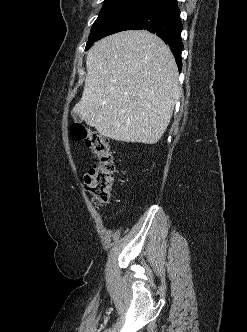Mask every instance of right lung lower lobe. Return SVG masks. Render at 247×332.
Masks as SVG:
<instances>
[{
  "instance_id": "98d812e1",
  "label": "right lung lower lobe",
  "mask_w": 247,
  "mask_h": 332,
  "mask_svg": "<svg viewBox=\"0 0 247 332\" xmlns=\"http://www.w3.org/2000/svg\"><path fill=\"white\" fill-rule=\"evenodd\" d=\"M177 5V0H149L109 25L99 38L126 30H147L171 48L180 72L183 25Z\"/></svg>"
}]
</instances>
